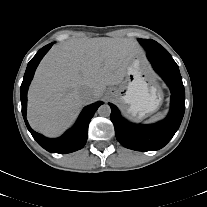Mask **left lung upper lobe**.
Instances as JSON below:
<instances>
[{
    "label": "left lung upper lobe",
    "instance_id": "5c2ea615",
    "mask_svg": "<svg viewBox=\"0 0 207 207\" xmlns=\"http://www.w3.org/2000/svg\"><path fill=\"white\" fill-rule=\"evenodd\" d=\"M140 44L146 49L147 52H165L167 51L159 43L152 39H138Z\"/></svg>",
    "mask_w": 207,
    "mask_h": 207
}]
</instances>
